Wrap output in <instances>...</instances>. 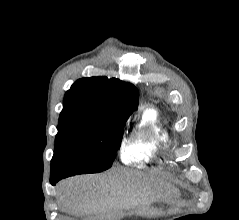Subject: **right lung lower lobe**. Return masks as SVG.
Wrapping results in <instances>:
<instances>
[{
    "instance_id": "obj_1",
    "label": "right lung lower lobe",
    "mask_w": 239,
    "mask_h": 220,
    "mask_svg": "<svg viewBox=\"0 0 239 220\" xmlns=\"http://www.w3.org/2000/svg\"><path fill=\"white\" fill-rule=\"evenodd\" d=\"M59 180H53V179H50V183L52 184V185H55L57 182H58Z\"/></svg>"
}]
</instances>
